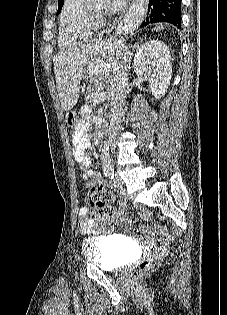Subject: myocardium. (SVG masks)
I'll return each mask as SVG.
<instances>
[{
  "instance_id": "myocardium-1",
  "label": "myocardium",
  "mask_w": 227,
  "mask_h": 315,
  "mask_svg": "<svg viewBox=\"0 0 227 315\" xmlns=\"http://www.w3.org/2000/svg\"><path fill=\"white\" fill-rule=\"evenodd\" d=\"M86 15L92 22H98L100 14L92 11L89 7H86Z\"/></svg>"
}]
</instances>
